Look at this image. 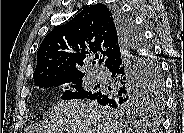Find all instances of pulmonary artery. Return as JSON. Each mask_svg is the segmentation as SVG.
I'll return each instance as SVG.
<instances>
[{
  "label": "pulmonary artery",
  "mask_w": 184,
  "mask_h": 133,
  "mask_svg": "<svg viewBox=\"0 0 184 133\" xmlns=\"http://www.w3.org/2000/svg\"><path fill=\"white\" fill-rule=\"evenodd\" d=\"M92 77L97 81H104L106 78L105 74L99 70H93Z\"/></svg>",
  "instance_id": "obj_1"
}]
</instances>
